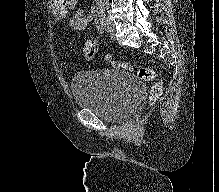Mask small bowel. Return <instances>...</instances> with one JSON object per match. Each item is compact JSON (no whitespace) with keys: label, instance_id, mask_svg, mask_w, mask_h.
<instances>
[{"label":"small bowel","instance_id":"obj_1","mask_svg":"<svg viewBox=\"0 0 219 192\" xmlns=\"http://www.w3.org/2000/svg\"><path fill=\"white\" fill-rule=\"evenodd\" d=\"M76 2L77 0H50L49 8L58 20L64 18L68 11H73L69 25L75 33H79L95 18V7H91L89 13L85 15L81 9H75ZM106 59L109 60L110 57L106 56Z\"/></svg>","mask_w":219,"mask_h":192}]
</instances>
